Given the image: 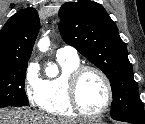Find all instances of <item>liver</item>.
I'll use <instances>...</instances> for the list:
<instances>
[{"mask_svg": "<svg viewBox=\"0 0 145 124\" xmlns=\"http://www.w3.org/2000/svg\"><path fill=\"white\" fill-rule=\"evenodd\" d=\"M75 120L56 118L37 112L0 109V124H77Z\"/></svg>", "mask_w": 145, "mask_h": 124, "instance_id": "1", "label": "liver"}]
</instances>
